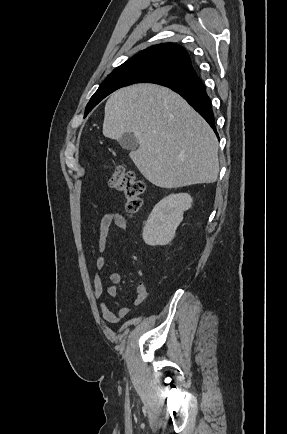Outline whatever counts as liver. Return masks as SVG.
Here are the masks:
<instances>
[{
  "mask_svg": "<svg viewBox=\"0 0 287 434\" xmlns=\"http://www.w3.org/2000/svg\"><path fill=\"white\" fill-rule=\"evenodd\" d=\"M133 132L130 157L161 188L213 183L218 178V140L208 123L177 93L153 84L114 92L105 105L103 135L119 140Z\"/></svg>",
  "mask_w": 287,
  "mask_h": 434,
  "instance_id": "liver-1",
  "label": "liver"
}]
</instances>
